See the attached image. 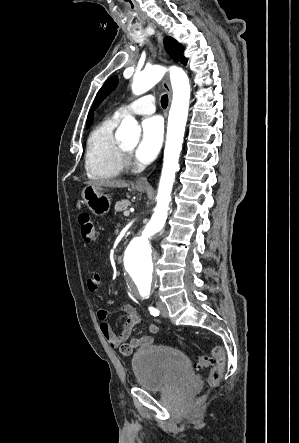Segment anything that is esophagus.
<instances>
[{
    "instance_id": "esophagus-1",
    "label": "esophagus",
    "mask_w": 299,
    "mask_h": 443,
    "mask_svg": "<svg viewBox=\"0 0 299 443\" xmlns=\"http://www.w3.org/2000/svg\"><path fill=\"white\" fill-rule=\"evenodd\" d=\"M156 36H157V40H158V43H159L160 50L162 51L163 56H164V61H166V59H165V51H164V47H163L162 35H161V33L157 32ZM163 87L166 90V92L168 93L169 100H171L172 91H171V86H170V83H169V80H168L167 77L163 80ZM136 185H138V186H145V187L150 186L146 176H142V177L138 178L136 180Z\"/></svg>"
}]
</instances>
